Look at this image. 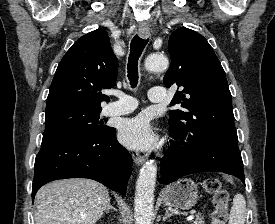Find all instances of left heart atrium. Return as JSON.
Wrapping results in <instances>:
<instances>
[{
    "label": "left heart atrium",
    "instance_id": "1",
    "mask_svg": "<svg viewBox=\"0 0 275 224\" xmlns=\"http://www.w3.org/2000/svg\"><path fill=\"white\" fill-rule=\"evenodd\" d=\"M119 138L124 145L134 149H146L156 140L144 115L123 121L119 129Z\"/></svg>",
    "mask_w": 275,
    "mask_h": 224
}]
</instances>
